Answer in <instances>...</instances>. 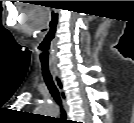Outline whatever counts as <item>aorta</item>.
I'll return each instance as SVG.
<instances>
[{
  "label": "aorta",
  "instance_id": "obj_1",
  "mask_svg": "<svg viewBox=\"0 0 134 123\" xmlns=\"http://www.w3.org/2000/svg\"><path fill=\"white\" fill-rule=\"evenodd\" d=\"M41 112L51 114V115H56V110L54 106L50 103L43 104L41 106Z\"/></svg>",
  "mask_w": 134,
  "mask_h": 123
}]
</instances>
